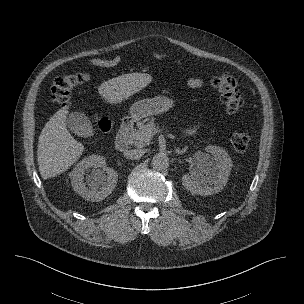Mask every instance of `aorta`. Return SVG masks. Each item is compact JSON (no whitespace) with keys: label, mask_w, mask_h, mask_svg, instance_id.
I'll list each match as a JSON object with an SVG mask.
<instances>
[{"label":"aorta","mask_w":304,"mask_h":304,"mask_svg":"<svg viewBox=\"0 0 304 304\" xmlns=\"http://www.w3.org/2000/svg\"><path fill=\"white\" fill-rule=\"evenodd\" d=\"M151 165L157 171L165 170L169 166V158L164 153H157L153 156Z\"/></svg>","instance_id":"1"}]
</instances>
